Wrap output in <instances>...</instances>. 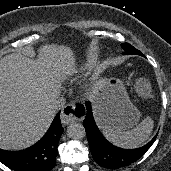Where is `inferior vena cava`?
Masks as SVG:
<instances>
[{"label": "inferior vena cava", "instance_id": "inferior-vena-cava-1", "mask_svg": "<svg viewBox=\"0 0 171 171\" xmlns=\"http://www.w3.org/2000/svg\"><path fill=\"white\" fill-rule=\"evenodd\" d=\"M65 104H66L65 98L59 97V98H57V100L55 101L53 107H54L55 110H58V109L64 108Z\"/></svg>", "mask_w": 171, "mask_h": 171}]
</instances>
